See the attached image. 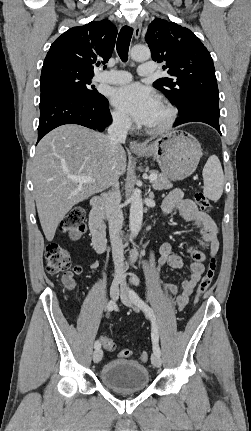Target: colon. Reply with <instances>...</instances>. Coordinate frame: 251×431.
<instances>
[{"mask_svg":"<svg viewBox=\"0 0 251 431\" xmlns=\"http://www.w3.org/2000/svg\"><path fill=\"white\" fill-rule=\"evenodd\" d=\"M194 199L202 211L208 212L212 209V205L208 198L202 192H196ZM84 218L85 211L82 207H73L62 220L59 230L71 240L79 239L84 233ZM46 267L50 274L64 273L65 283L69 286L73 285V276L79 275L82 268L79 265L71 266V257L67 250L56 243L49 244L45 251ZM216 269V260L211 258L206 273L202 277L197 293L196 301L203 296L211 287ZM102 345L105 349L112 351L115 349V343L112 339L103 337ZM132 350L123 349L119 352V356L127 358L132 355ZM139 358L143 362H147L150 355L147 351H140Z\"/></svg>","mask_w":251,"mask_h":431,"instance_id":"5ec220e1","label":"colon"}]
</instances>
